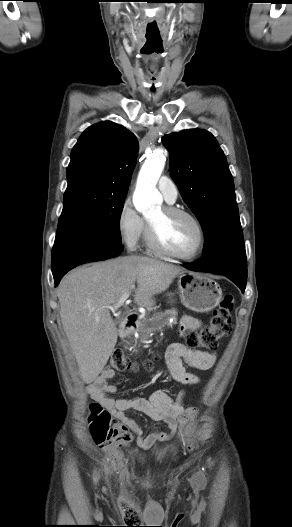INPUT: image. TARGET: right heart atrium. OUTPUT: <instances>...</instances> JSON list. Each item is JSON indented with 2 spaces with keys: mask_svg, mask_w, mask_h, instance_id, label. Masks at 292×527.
Returning <instances> with one entry per match:
<instances>
[{
  "mask_svg": "<svg viewBox=\"0 0 292 527\" xmlns=\"http://www.w3.org/2000/svg\"><path fill=\"white\" fill-rule=\"evenodd\" d=\"M117 228L124 245L131 251L135 250L145 231V222L129 199H125L119 209Z\"/></svg>",
  "mask_w": 292,
  "mask_h": 527,
  "instance_id": "d8ad5b80",
  "label": "right heart atrium"
}]
</instances>
